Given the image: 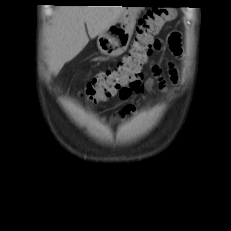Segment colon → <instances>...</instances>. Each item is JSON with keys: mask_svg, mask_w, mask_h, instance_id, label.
Instances as JSON below:
<instances>
[{"mask_svg": "<svg viewBox=\"0 0 231 231\" xmlns=\"http://www.w3.org/2000/svg\"><path fill=\"white\" fill-rule=\"evenodd\" d=\"M175 13L168 8H152L139 20L136 36L129 52L112 68L98 73L86 85L84 95L92 103L112 97L125 85L143 79V65L162 44L156 39L161 27L173 19Z\"/></svg>", "mask_w": 231, "mask_h": 231, "instance_id": "colon-1", "label": "colon"}]
</instances>
